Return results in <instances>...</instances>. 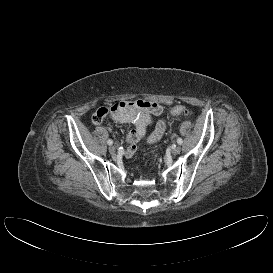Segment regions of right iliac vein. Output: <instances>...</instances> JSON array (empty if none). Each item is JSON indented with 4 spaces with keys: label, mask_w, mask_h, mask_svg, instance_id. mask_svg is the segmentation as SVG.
<instances>
[{
    "label": "right iliac vein",
    "mask_w": 273,
    "mask_h": 273,
    "mask_svg": "<svg viewBox=\"0 0 273 273\" xmlns=\"http://www.w3.org/2000/svg\"><path fill=\"white\" fill-rule=\"evenodd\" d=\"M115 151H116L115 146H110V147H109V152H110L111 154H114Z\"/></svg>",
    "instance_id": "1"
}]
</instances>
